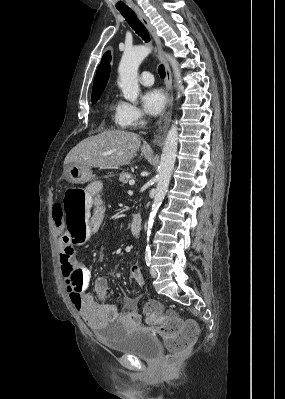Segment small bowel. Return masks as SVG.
<instances>
[{
  "label": "small bowel",
  "instance_id": "1",
  "mask_svg": "<svg viewBox=\"0 0 285 399\" xmlns=\"http://www.w3.org/2000/svg\"><path fill=\"white\" fill-rule=\"evenodd\" d=\"M103 189L102 183L92 184L84 193L86 200V211L90 216L91 230L97 233L102 227L104 221V204L101 197ZM54 214L59 216V229L61 231L60 245L63 255L64 250L68 246L69 233L64 227L63 211L57 207L54 209ZM74 277L81 279L83 285L82 302L79 306L73 303L79 315L87 322L88 325H104L107 323L115 325L120 332H125L132 328L144 327L142 323V316L138 311V301L141 299L140 295H136L131 299H125L123 306L127 312L121 313L117 305L110 299L108 283L99 278L95 281L94 290L98 297V301L94 300L91 294L86 290L85 286L91 278V272L83 265H78L74 271ZM130 277L138 287L145 285V279L142 271L138 266H133L130 269ZM160 321L159 318L150 321L151 325H156Z\"/></svg>",
  "mask_w": 285,
  "mask_h": 399
}]
</instances>
